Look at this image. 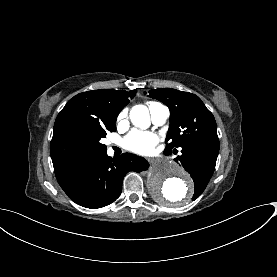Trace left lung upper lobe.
Returning a JSON list of instances; mask_svg holds the SVG:
<instances>
[{
    "mask_svg": "<svg viewBox=\"0 0 277 277\" xmlns=\"http://www.w3.org/2000/svg\"><path fill=\"white\" fill-rule=\"evenodd\" d=\"M149 97L163 102L170 109V126L166 136L169 143L165 154L168 155L172 149L201 139H218L213 114L195 94L161 88L150 90ZM201 191L195 192L193 198H197Z\"/></svg>",
    "mask_w": 277,
    "mask_h": 277,
    "instance_id": "obj_1",
    "label": "left lung upper lobe"
}]
</instances>
